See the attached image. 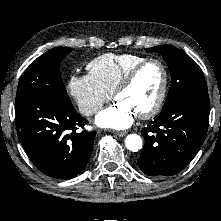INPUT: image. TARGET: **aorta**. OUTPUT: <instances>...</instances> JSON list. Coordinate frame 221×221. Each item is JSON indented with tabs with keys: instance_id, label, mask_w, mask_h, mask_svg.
Returning a JSON list of instances; mask_svg holds the SVG:
<instances>
[{
	"instance_id": "762f6f07",
	"label": "aorta",
	"mask_w": 221,
	"mask_h": 221,
	"mask_svg": "<svg viewBox=\"0 0 221 221\" xmlns=\"http://www.w3.org/2000/svg\"><path fill=\"white\" fill-rule=\"evenodd\" d=\"M125 146L128 150L137 152L142 147V139L137 134H130L125 138Z\"/></svg>"
}]
</instances>
